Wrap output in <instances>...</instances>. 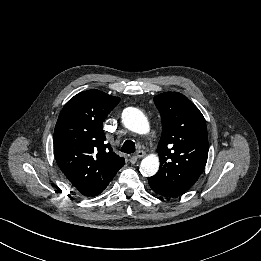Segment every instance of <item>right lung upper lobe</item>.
I'll use <instances>...</instances> for the list:
<instances>
[{
	"instance_id": "obj_1",
	"label": "right lung upper lobe",
	"mask_w": 261,
	"mask_h": 261,
	"mask_svg": "<svg viewBox=\"0 0 261 261\" xmlns=\"http://www.w3.org/2000/svg\"><path fill=\"white\" fill-rule=\"evenodd\" d=\"M120 99L99 90L71 98L58 117L53 143L57 164L84 196L100 194L125 160L105 143L103 121Z\"/></svg>"
}]
</instances>
